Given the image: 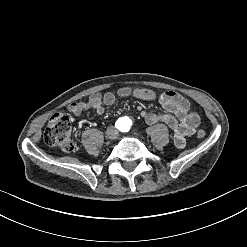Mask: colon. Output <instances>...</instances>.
Returning a JSON list of instances; mask_svg holds the SVG:
<instances>
[{
  "label": "colon",
  "instance_id": "colon-1",
  "mask_svg": "<svg viewBox=\"0 0 247 247\" xmlns=\"http://www.w3.org/2000/svg\"><path fill=\"white\" fill-rule=\"evenodd\" d=\"M137 94L143 100H147L150 91L148 88H139ZM71 131V123L67 116L62 113H55L46 124L43 134L44 142L57 150L72 153L76 150L77 145L71 138ZM197 137H205V132L199 129Z\"/></svg>",
  "mask_w": 247,
  "mask_h": 247
}]
</instances>
